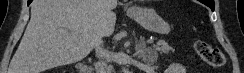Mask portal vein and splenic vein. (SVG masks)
Segmentation results:
<instances>
[{"label":"portal vein and splenic vein","instance_id":"18ae733b","mask_svg":"<svg viewBox=\"0 0 244 73\" xmlns=\"http://www.w3.org/2000/svg\"><path fill=\"white\" fill-rule=\"evenodd\" d=\"M147 43L151 44L153 43V40H147Z\"/></svg>","mask_w":244,"mask_h":73}]
</instances>
